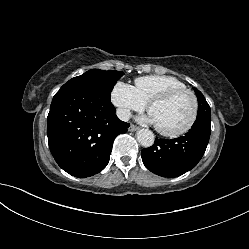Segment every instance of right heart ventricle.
Masks as SVG:
<instances>
[{"label": "right heart ventricle", "instance_id": "right-heart-ventricle-1", "mask_svg": "<svg viewBox=\"0 0 249 249\" xmlns=\"http://www.w3.org/2000/svg\"><path fill=\"white\" fill-rule=\"evenodd\" d=\"M184 87L182 81L169 75H148L135 79V89L146 104L166 91Z\"/></svg>", "mask_w": 249, "mask_h": 249}]
</instances>
